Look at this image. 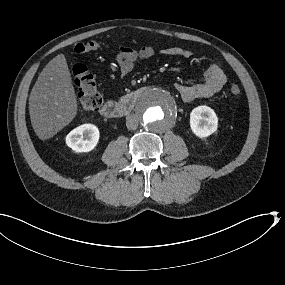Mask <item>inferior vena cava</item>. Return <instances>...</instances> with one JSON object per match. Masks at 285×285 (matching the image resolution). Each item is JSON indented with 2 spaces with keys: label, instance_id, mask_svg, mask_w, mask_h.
Instances as JSON below:
<instances>
[{
  "label": "inferior vena cava",
  "instance_id": "inferior-vena-cava-1",
  "mask_svg": "<svg viewBox=\"0 0 285 285\" xmlns=\"http://www.w3.org/2000/svg\"><path fill=\"white\" fill-rule=\"evenodd\" d=\"M139 124V119L136 114L128 115L126 118V126L129 130H135L137 129Z\"/></svg>",
  "mask_w": 285,
  "mask_h": 285
}]
</instances>
